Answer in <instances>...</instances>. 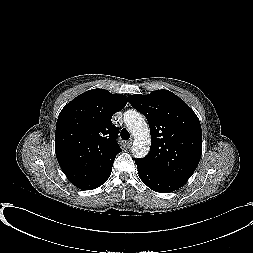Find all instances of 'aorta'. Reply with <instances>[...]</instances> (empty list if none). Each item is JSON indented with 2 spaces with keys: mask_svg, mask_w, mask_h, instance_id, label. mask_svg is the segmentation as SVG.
Instances as JSON below:
<instances>
[{
  "mask_svg": "<svg viewBox=\"0 0 253 253\" xmlns=\"http://www.w3.org/2000/svg\"><path fill=\"white\" fill-rule=\"evenodd\" d=\"M124 122L133 135L132 153L135 158L145 157L150 149V130L144 117L136 110L124 113Z\"/></svg>",
  "mask_w": 253,
  "mask_h": 253,
  "instance_id": "1",
  "label": "aorta"
}]
</instances>
